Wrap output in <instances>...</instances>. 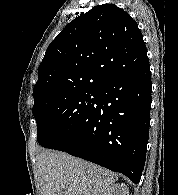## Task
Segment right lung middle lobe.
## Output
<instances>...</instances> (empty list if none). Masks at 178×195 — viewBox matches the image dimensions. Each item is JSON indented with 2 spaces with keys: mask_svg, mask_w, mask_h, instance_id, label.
I'll use <instances>...</instances> for the list:
<instances>
[{
  "mask_svg": "<svg viewBox=\"0 0 178 195\" xmlns=\"http://www.w3.org/2000/svg\"><path fill=\"white\" fill-rule=\"evenodd\" d=\"M96 95V90H80L50 98L34 107L38 143L55 148L94 105Z\"/></svg>",
  "mask_w": 178,
  "mask_h": 195,
  "instance_id": "right-lung-middle-lobe-1",
  "label": "right lung middle lobe"
}]
</instances>
